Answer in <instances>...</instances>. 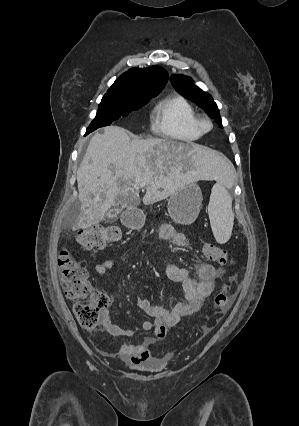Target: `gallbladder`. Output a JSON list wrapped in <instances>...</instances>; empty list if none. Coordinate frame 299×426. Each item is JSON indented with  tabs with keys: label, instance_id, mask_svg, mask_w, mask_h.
Masks as SVG:
<instances>
[{
	"label": "gallbladder",
	"instance_id": "1",
	"mask_svg": "<svg viewBox=\"0 0 299 426\" xmlns=\"http://www.w3.org/2000/svg\"><path fill=\"white\" fill-rule=\"evenodd\" d=\"M121 209H111L109 214L106 216L107 222H112L117 219V215L120 213Z\"/></svg>",
	"mask_w": 299,
	"mask_h": 426
}]
</instances>
